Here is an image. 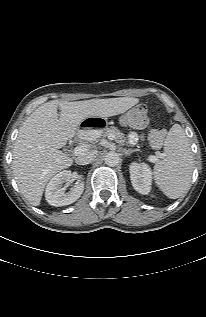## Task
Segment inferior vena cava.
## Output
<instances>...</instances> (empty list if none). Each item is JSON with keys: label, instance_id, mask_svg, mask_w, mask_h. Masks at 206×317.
Wrapping results in <instances>:
<instances>
[{"label": "inferior vena cava", "instance_id": "inferior-vena-cava-1", "mask_svg": "<svg viewBox=\"0 0 206 317\" xmlns=\"http://www.w3.org/2000/svg\"><path fill=\"white\" fill-rule=\"evenodd\" d=\"M96 157V152L95 151H90V152H87V153H82L80 154L75 162L78 164V165H87L89 163H91L94 158Z\"/></svg>", "mask_w": 206, "mask_h": 317}]
</instances>
